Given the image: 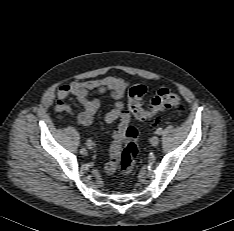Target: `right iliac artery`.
Instances as JSON below:
<instances>
[{
    "instance_id": "obj_1",
    "label": "right iliac artery",
    "mask_w": 234,
    "mask_h": 231,
    "mask_svg": "<svg viewBox=\"0 0 234 231\" xmlns=\"http://www.w3.org/2000/svg\"><path fill=\"white\" fill-rule=\"evenodd\" d=\"M86 146H87L89 149H92L93 146H94V143H93L91 140H87Z\"/></svg>"
}]
</instances>
